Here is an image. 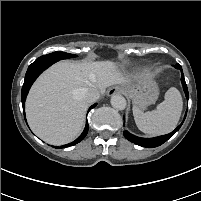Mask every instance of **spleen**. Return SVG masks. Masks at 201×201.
Returning a JSON list of instances; mask_svg holds the SVG:
<instances>
[{
	"instance_id": "obj_1",
	"label": "spleen",
	"mask_w": 201,
	"mask_h": 201,
	"mask_svg": "<svg viewBox=\"0 0 201 201\" xmlns=\"http://www.w3.org/2000/svg\"><path fill=\"white\" fill-rule=\"evenodd\" d=\"M180 92L171 87L165 93V100L155 110L143 112L133 106L134 120L140 131L150 135L167 134L175 129L182 112Z\"/></svg>"
}]
</instances>
